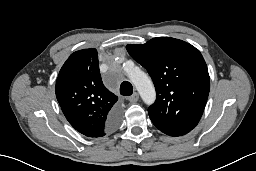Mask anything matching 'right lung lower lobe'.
I'll use <instances>...</instances> for the list:
<instances>
[{
	"instance_id": "obj_1",
	"label": "right lung lower lobe",
	"mask_w": 256,
	"mask_h": 171,
	"mask_svg": "<svg viewBox=\"0 0 256 171\" xmlns=\"http://www.w3.org/2000/svg\"><path fill=\"white\" fill-rule=\"evenodd\" d=\"M120 120V111L118 108H116L115 110H113L111 112V114L108 117L106 126L109 130H113L116 128V126L118 125Z\"/></svg>"
}]
</instances>
